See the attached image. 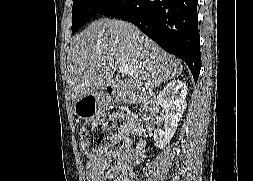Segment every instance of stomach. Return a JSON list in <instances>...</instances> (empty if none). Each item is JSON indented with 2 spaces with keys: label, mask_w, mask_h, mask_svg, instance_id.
<instances>
[{
  "label": "stomach",
  "mask_w": 253,
  "mask_h": 181,
  "mask_svg": "<svg viewBox=\"0 0 253 181\" xmlns=\"http://www.w3.org/2000/svg\"><path fill=\"white\" fill-rule=\"evenodd\" d=\"M107 104V96L102 91H96L75 103V113L83 119L96 117Z\"/></svg>",
  "instance_id": "1"
}]
</instances>
